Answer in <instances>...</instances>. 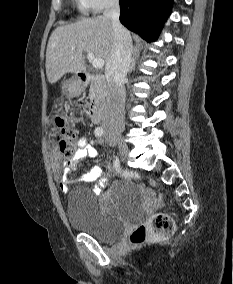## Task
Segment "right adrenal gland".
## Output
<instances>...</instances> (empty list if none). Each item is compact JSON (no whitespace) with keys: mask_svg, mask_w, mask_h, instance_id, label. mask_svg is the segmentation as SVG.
<instances>
[{"mask_svg":"<svg viewBox=\"0 0 233 284\" xmlns=\"http://www.w3.org/2000/svg\"><path fill=\"white\" fill-rule=\"evenodd\" d=\"M139 56V50L135 49L132 53V60H131V66H130V72L134 69V66L136 64V59Z\"/></svg>","mask_w":233,"mask_h":284,"instance_id":"obj_1","label":"right adrenal gland"}]
</instances>
